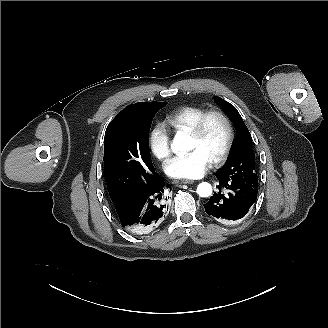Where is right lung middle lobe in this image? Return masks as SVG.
I'll return each instance as SVG.
<instances>
[{
    "label": "right lung middle lobe",
    "mask_w": 328,
    "mask_h": 328,
    "mask_svg": "<svg viewBox=\"0 0 328 328\" xmlns=\"http://www.w3.org/2000/svg\"><path fill=\"white\" fill-rule=\"evenodd\" d=\"M165 102L129 105L108 125L104 138V178L117 209L150 189L155 173L149 151V130Z\"/></svg>",
    "instance_id": "obj_1"
}]
</instances>
